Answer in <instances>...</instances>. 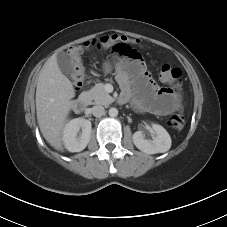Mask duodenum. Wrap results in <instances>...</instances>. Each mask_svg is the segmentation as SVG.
Listing matches in <instances>:
<instances>
[{
  "label": "duodenum",
  "mask_w": 227,
  "mask_h": 227,
  "mask_svg": "<svg viewBox=\"0 0 227 227\" xmlns=\"http://www.w3.org/2000/svg\"><path fill=\"white\" fill-rule=\"evenodd\" d=\"M89 102V96L86 93H81L78 97H76L72 102V109L80 113L84 110Z\"/></svg>",
  "instance_id": "duodenum-1"
}]
</instances>
